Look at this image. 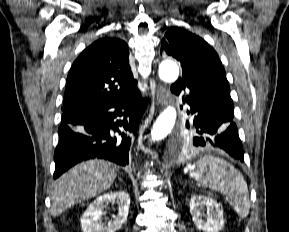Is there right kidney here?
Masks as SVG:
<instances>
[{"mask_svg": "<svg viewBox=\"0 0 289 232\" xmlns=\"http://www.w3.org/2000/svg\"><path fill=\"white\" fill-rule=\"evenodd\" d=\"M109 203L116 204L117 215H113L107 225L103 222L104 209ZM130 196L124 191H111L97 197L81 217L83 232H115L122 227L128 217Z\"/></svg>", "mask_w": 289, "mask_h": 232, "instance_id": "right-kidney-1", "label": "right kidney"}]
</instances>
